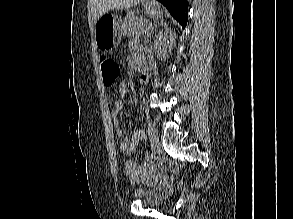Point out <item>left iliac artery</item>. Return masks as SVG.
Wrapping results in <instances>:
<instances>
[{"mask_svg": "<svg viewBox=\"0 0 293 219\" xmlns=\"http://www.w3.org/2000/svg\"><path fill=\"white\" fill-rule=\"evenodd\" d=\"M143 106H144L146 119L148 120L149 119V108H148L147 103L145 102V100H143Z\"/></svg>", "mask_w": 293, "mask_h": 219, "instance_id": "obj_1", "label": "left iliac artery"}]
</instances>
